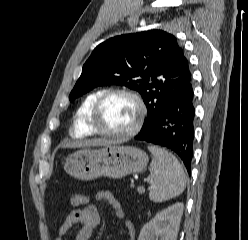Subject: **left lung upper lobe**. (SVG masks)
Masks as SVG:
<instances>
[{"instance_id":"obj_1","label":"left lung upper lobe","mask_w":248,"mask_h":240,"mask_svg":"<svg viewBox=\"0 0 248 240\" xmlns=\"http://www.w3.org/2000/svg\"><path fill=\"white\" fill-rule=\"evenodd\" d=\"M191 83L189 62L177 38L161 30L116 36L99 44L83 66L70 101L101 85L138 91L151 122L168 99Z\"/></svg>"}]
</instances>
